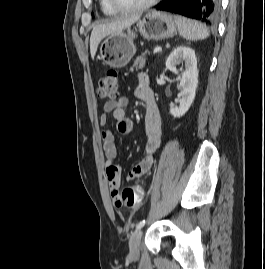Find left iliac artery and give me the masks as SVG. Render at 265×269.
Listing matches in <instances>:
<instances>
[{
	"mask_svg": "<svg viewBox=\"0 0 265 269\" xmlns=\"http://www.w3.org/2000/svg\"><path fill=\"white\" fill-rule=\"evenodd\" d=\"M145 222H146L145 220L140 221V222L136 225V230L142 228V227L145 225Z\"/></svg>",
	"mask_w": 265,
	"mask_h": 269,
	"instance_id": "44dca946",
	"label": "left iliac artery"
}]
</instances>
